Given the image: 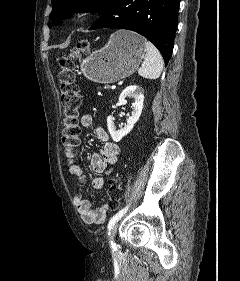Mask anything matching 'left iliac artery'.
<instances>
[{"mask_svg":"<svg viewBox=\"0 0 240 281\" xmlns=\"http://www.w3.org/2000/svg\"><path fill=\"white\" fill-rule=\"evenodd\" d=\"M129 206H126L125 208L121 209L118 213H116L109 221L108 223V234L110 235V231L114 224L126 213L128 210ZM111 246L114 250H116V244L111 241Z\"/></svg>","mask_w":240,"mask_h":281,"instance_id":"left-iliac-artery-1","label":"left iliac artery"}]
</instances>
